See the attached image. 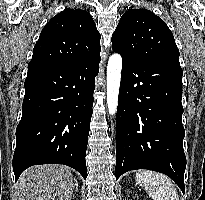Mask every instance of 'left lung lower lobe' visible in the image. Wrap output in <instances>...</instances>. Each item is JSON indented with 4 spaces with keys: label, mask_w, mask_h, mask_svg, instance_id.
Instances as JSON below:
<instances>
[{
    "label": "left lung lower lobe",
    "mask_w": 205,
    "mask_h": 200,
    "mask_svg": "<svg viewBox=\"0 0 205 200\" xmlns=\"http://www.w3.org/2000/svg\"><path fill=\"white\" fill-rule=\"evenodd\" d=\"M179 57L123 59L117 108L116 179L134 169L168 175L185 192Z\"/></svg>",
    "instance_id": "left-lung-lower-lobe-1"
}]
</instances>
